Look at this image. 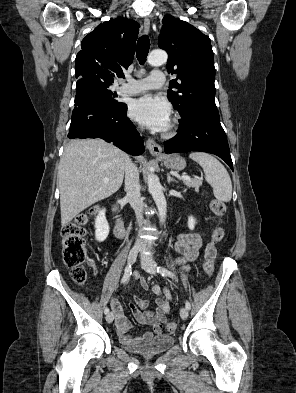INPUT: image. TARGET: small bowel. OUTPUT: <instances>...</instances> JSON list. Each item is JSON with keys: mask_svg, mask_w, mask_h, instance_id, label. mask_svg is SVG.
<instances>
[{"mask_svg": "<svg viewBox=\"0 0 296 393\" xmlns=\"http://www.w3.org/2000/svg\"><path fill=\"white\" fill-rule=\"evenodd\" d=\"M204 237L205 234L200 231L180 234L175 243V250L180 254L177 263L187 269L185 264L198 258ZM215 256V248L211 244H207L205 248V259L209 258L213 261ZM134 279L140 283L142 288H148L146 278L139 272L134 273ZM128 288L129 286L126 290ZM152 291L157 296L155 300L156 307L153 311L148 310L150 303L146 299L134 296L130 302V310L135 319L140 324L151 325L153 328L152 332H145L135 336L130 335L131 322L124 315L119 301L116 298L111 299V307L115 314V331L120 342L124 345L148 342L155 334L161 333L163 324L167 320L173 298L167 287L153 285Z\"/></svg>", "mask_w": 296, "mask_h": 393, "instance_id": "small-bowel-1", "label": "small bowel"}]
</instances>
